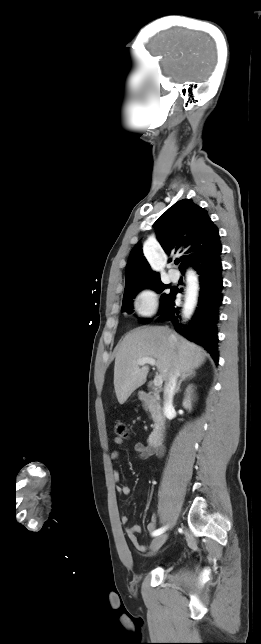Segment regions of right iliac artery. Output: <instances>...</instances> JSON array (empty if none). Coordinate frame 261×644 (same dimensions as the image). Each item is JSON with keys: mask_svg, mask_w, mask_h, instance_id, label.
Instances as JSON below:
<instances>
[{"mask_svg": "<svg viewBox=\"0 0 261 644\" xmlns=\"http://www.w3.org/2000/svg\"><path fill=\"white\" fill-rule=\"evenodd\" d=\"M166 529H167V527L159 528V529L155 530V531L152 533V536H158V535H161V534H162Z\"/></svg>", "mask_w": 261, "mask_h": 644, "instance_id": "right-iliac-artery-1", "label": "right iliac artery"}]
</instances>
